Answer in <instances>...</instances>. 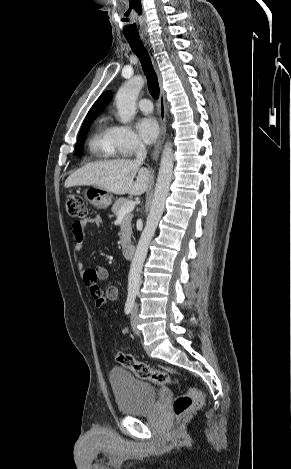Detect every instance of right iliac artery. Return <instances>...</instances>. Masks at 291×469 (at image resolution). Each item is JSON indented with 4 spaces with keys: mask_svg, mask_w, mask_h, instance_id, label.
Instances as JSON below:
<instances>
[{
    "mask_svg": "<svg viewBox=\"0 0 291 469\" xmlns=\"http://www.w3.org/2000/svg\"><path fill=\"white\" fill-rule=\"evenodd\" d=\"M135 302V295H129L125 304V314H130Z\"/></svg>",
    "mask_w": 291,
    "mask_h": 469,
    "instance_id": "1",
    "label": "right iliac artery"
}]
</instances>
